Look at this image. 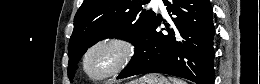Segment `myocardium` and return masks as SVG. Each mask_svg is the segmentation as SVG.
Returning a JSON list of instances; mask_svg holds the SVG:
<instances>
[{
	"label": "myocardium",
	"mask_w": 260,
	"mask_h": 84,
	"mask_svg": "<svg viewBox=\"0 0 260 84\" xmlns=\"http://www.w3.org/2000/svg\"><path fill=\"white\" fill-rule=\"evenodd\" d=\"M100 49H108L113 53L110 68L103 73L95 74L90 68V61ZM137 53L134 41L125 35L107 34L93 41L84 51L81 58L83 74L93 82H102L120 75L132 63Z\"/></svg>",
	"instance_id": "f54148a6"
}]
</instances>
